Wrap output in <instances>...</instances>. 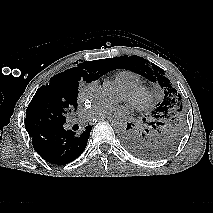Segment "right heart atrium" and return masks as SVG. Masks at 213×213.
I'll return each mask as SVG.
<instances>
[{
  "label": "right heart atrium",
  "instance_id": "1",
  "mask_svg": "<svg viewBox=\"0 0 213 213\" xmlns=\"http://www.w3.org/2000/svg\"><path fill=\"white\" fill-rule=\"evenodd\" d=\"M97 83L91 81L88 83H82L78 90V100L82 103H91L96 96Z\"/></svg>",
  "mask_w": 213,
  "mask_h": 213
}]
</instances>
